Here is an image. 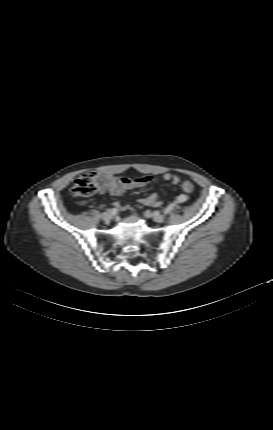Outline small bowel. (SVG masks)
Segmentation results:
<instances>
[{
  "instance_id": "small-bowel-1",
  "label": "small bowel",
  "mask_w": 273,
  "mask_h": 430,
  "mask_svg": "<svg viewBox=\"0 0 273 430\" xmlns=\"http://www.w3.org/2000/svg\"><path fill=\"white\" fill-rule=\"evenodd\" d=\"M95 176L99 181L98 192L101 194L109 192L114 196H122L133 189L146 187L153 181V177L151 176H142L137 178L115 177L110 174L100 172L95 173ZM163 179L170 182L172 185H177L180 182L179 176L172 172L164 173ZM177 200L179 202H184L186 198L184 195H180ZM139 203L146 206L159 207L161 206L162 201L157 194H151L148 197L139 199ZM115 208L126 210L129 206L117 203Z\"/></svg>"
}]
</instances>
